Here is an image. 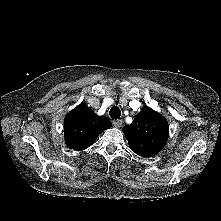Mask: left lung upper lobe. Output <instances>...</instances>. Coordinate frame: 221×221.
<instances>
[{
    "label": "left lung upper lobe",
    "mask_w": 221,
    "mask_h": 221,
    "mask_svg": "<svg viewBox=\"0 0 221 221\" xmlns=\"http://www.w3.org/2000/svg\"><path fill=\"white\" fill-rule=\"evenodd\" d=\"M130 148L139 156L152 157L160 152L168 138L166 119L148 106L123 127Z\"/></svg>",
    "instance_id": "5c2ea615"
}]
</instances>
